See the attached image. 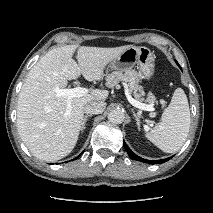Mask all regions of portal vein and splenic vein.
Wrapping results in <instances>:
<instances>
[{
    "label": "portal vein and splenic vein",
    "instance_id": "obj_1",
    "mask_svg": "<svg viewBox=\"0 0 213 213\" xmlns=\"http://www.w3.org/2000/svg\"><path fill=\"white\" fill-rule=\"evenodd\" d=\"M54 91L56 92V96L57 97H66L67 98V109L69 112L70 108H71V100L74 97H82L85 94L88 93V89L83 88V87H76V88H71V89H60V88H54ZM127 97H128V101L137 108H140L142 110H147V111H153L154 108L152 105H146L144 103H141L139 101L134 100L133 98H131V96L126 93Z\"/></svg>",
    "mask_w": 213,
    "mask_h": 213
}]
</instances>
